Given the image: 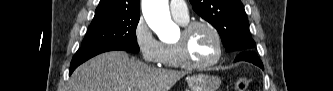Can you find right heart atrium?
I'll use <instances>...</instances> for the list:
<instances>
[{
    "instance_id": "d8ad5b80",
    "label": "right heart atrium",
    "mask_w": 333,
    "mask_h": 91,
    "mask_svg": "<svg viewBox=\"0 0 333 91\" xmlns=\"http://www.w3.org/2000/svg\"><path fill=\"white\" fill-rule=\"evenodd\" d=\"M133 38L144 61L155 65L161 64L163 45L143 17L137 20L133 28Z\"/></svg>"
}]
</instances>
